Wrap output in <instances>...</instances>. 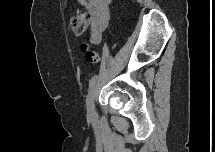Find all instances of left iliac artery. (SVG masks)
<instances>
[{
    "label": "left iliac artery",
    "mask_w": 215,
    "mask_h": 152,
    "mask_svg": "<svg viewBox=\"0 0 215 152\" xmlns=\"http://www.w3.org/2000/svg\"><path fill=\"white\" fill-rule=\"evenodd\" d=\"M98 79V75H94L90 80H89V88H91L95 82L97 81Z\"/></svg>",
    "instance_id": "obj_1"
}]
</instances>
